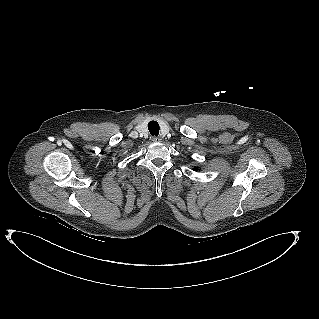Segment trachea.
<instances>
[{"label":"trachea","instance_id":"3493384b","mask_svg":"<svg viewBox=\"0 0 319 319\" xmlns=\"http://www.w3.org/2000/svg\"><path fill=\"white\" fill-rule=\"evenodd\" d=\"M148 129H149V132L151 133V135L158 136L159 130H160L158 122L150 121L148 123Z\"/></svg>","mask_w":319,"mask_h":319}]
</instances>
